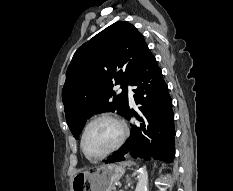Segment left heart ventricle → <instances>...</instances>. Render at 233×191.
Wrapping results in <instances>:
<instances>
[{
	"label": "left heart ventricle",
	"instance_id": "obj_1",
	"mask_svg": "<svg viewBox=\"0 0 233 191\" xmlns=\"http://www.w3.org/2000/svg\"><path fill=\"white\" fill-rule=\"evenodd\" d=\"M119 137L118 126L108 120L94 122L85 136V149L88 154L97 156L105 153Z\"/></svg>",
	"mask_w": 233,
	"mask_h": 191
}]
</instances>
